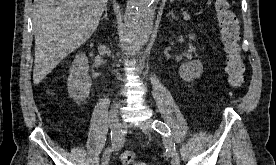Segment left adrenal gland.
I'll list each match as a JSON object with an SVG mask.
<instances>
[{
  "label": "left adrenal gland",
  "instance_id": "left-adrenal-gland-1",
  "mask_svg": "<svg viewBox=\"0 0 276 165\" xmlns=\"http://www.w3.org/2000/svg\"><path fill=\"white\" fill-rule=\"evenodd\" d=\"M167 16H171L173 19L176 18L175 15H174V13H173V11L169 12Z\"/></svg>",
  "mask_w": 276,
  "mask_h": 165
}]
</instances>
